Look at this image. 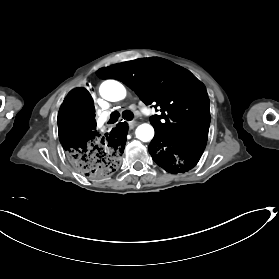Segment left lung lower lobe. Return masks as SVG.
<instances>
[{
  "label": "left lung lower lobe",
  "mask_w": 279,
  "mask_h": 279,
  "mask_svg": "<svg viewBox=\"0 0 279 279\" xmlns=\"http://www.w3.org/2000/svg\"><path fill=\"white\" fill-rule=\"evenodd\" d=\"M206 146L203 140H179L156 133L148 149L154 162L173 174L192 169Z\"/></svg>",
  "instance_id": "0a47b994"
}]
</instances>
